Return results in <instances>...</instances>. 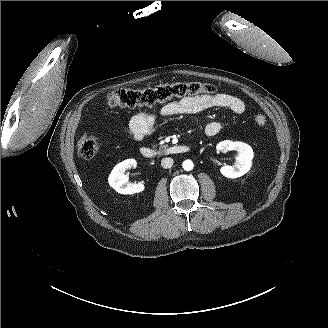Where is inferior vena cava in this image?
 I'll list each match as a JSON object with an SVG mask.
<instances>
[{"label": "inferior vena cava", "mask_w": 328, "mask_h": 328, "mask_svg": "<svg viewBox=\"0 0 328 328\" xmlns=\"http://www.w3.org/2000/svg\"><path fill=\"white\" fill-rule=\"evenodd\" d=\"M174 163V160L172 158H163L161 160V166L163 168H171Z\"/></svg>", "instance_id": "602c4592"}]
</instances>
